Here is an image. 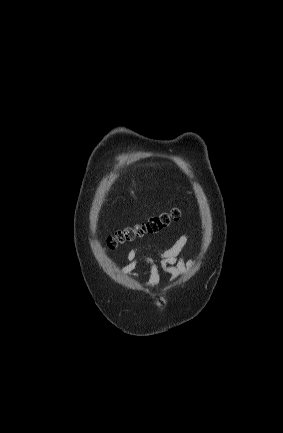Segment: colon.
I'll list each match as a JSON object with an SVG mask.
<instances>
[{"instance_id":"5ec220e1","label":"colon","mask_w":283,"mask_h":433,"mask_svg":"<svg viewBox=\"0 0 283 433\" xmlns=\"http://www.w3.org/2000/svg\"><path fill=\"white\" fill-rule=\"evenodd\" d=\"M178 218L179 211L176 209L171 210L170 212H164L151 216L142 223L117 231L114 235L107 239V247L109 249H115L119 245L133 241L144 234L159 232Z\"/></svg>"}]
</instances>
